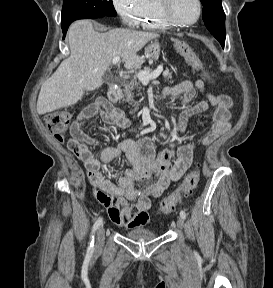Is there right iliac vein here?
<instances>
[{
	"label": "right iliac vein",
	"instance_id": "1",
	"mask_svg": "<svg viewBox=\"0 0 273 288\" xmlns=\"http://www.w3.org/2000/svg\"><path fill=\"white\" fill-rule=\"evenodd\" d=\"M104 239H105V229L103 226H101L97 232V240H96V248L97 249H101V247L103 246V243H104Z\"/></svg>",
	"mask_w": 273,
	"mask_h": 288
}]
</instances>
